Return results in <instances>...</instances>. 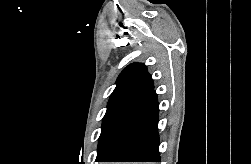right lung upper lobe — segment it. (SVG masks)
<instances>
[{
    "mask_svg": "<svg viewBox=\"0 0 251 164\" xmlns=\"http://www.w3.org/2000/svg\"><path fill=\"white\" fill-rule=\"evenodd\" d=\"M152 88H154L153 80L147 72L146 66L141 63H134L121 72L116 81L114 92L134 90L143 93Z\"/></svg>",
    "mask_w": 251,
    "mask_h": 164,
    "instance_id": "obj_1",
    "label": "right lung upper lobe"
}]
</instances>
